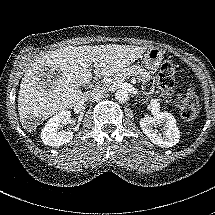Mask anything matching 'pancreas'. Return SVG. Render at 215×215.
Listing matches in <instances>:
<instances>
[{"instance_id": "pancreas-1", "label": "pancreas", "mask_w": 215, "mask_h": 215, "mask_svg": "<svg viewBox=\"0 0 215 215\" xmlns=\"http://www.w3.org/2000/svg\"><path fill=\"white\" fill-rule=\"evenodd\" d=\"M109 76H113L115 79L126 78L127 76H136L143 85H146L147 82L152 79L150 73L140 65H131L121 70V73H118L117 71ZM151 91L154 92V87L151 88Z\"/></svg>"}]
</instances>
